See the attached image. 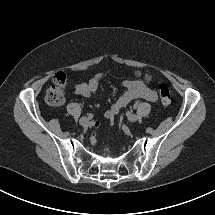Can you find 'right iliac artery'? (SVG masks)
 Instances as JSON below:
<instances>
[{"instance_id": "1", "label": "right iliac artery", "mask_w": 215, "mask_h": 215, "mask_svg": "<svg viewBox=\"0 0 215 215\" xmlns=\"http://www.w3.org/2000/svg\"><path fill=\"white\" fill-rule=\"evenodd\" d=\"M93 117L92 114H88V118L91 119Z\"/></svg>"}]
</instances>
